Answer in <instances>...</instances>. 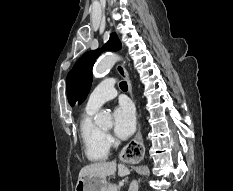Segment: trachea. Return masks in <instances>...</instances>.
Listing matches in <instances>:
<instances>
[{
	"label": "trachea",
	"mask_w": 233,
	"mask_h": 191,
	"mask_svg": "<svg viewBox=\"0 0 233 191\" xmlns=\"http://www.w3.org/2000/svg\"><path fill=\"white\" fill-rule=\"evenodd\" d=\"M120 88H121L123 91H127V89H128L127 83H126L125 81L121 82V83H120Z\"/></svg>",
	"instance_id": "1"
}]
</instances>
